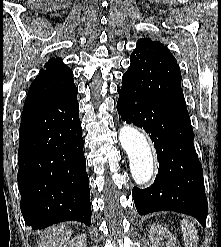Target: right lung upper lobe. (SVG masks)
<instances>
[{
    "mask_svg": "<svg viewBox=\"0 0 221 247\" xmlns=\"http://www.w3.org/2000/svg\"><path fill=\"white\" fill-rule=\"evenodd\" d=\"M30 85L23 109L60 97L76 89L73 72L59 58H52Z\"/></svg>",
    "mask_w": 221,
    "mask_h": 247,
    "instance_id": "obj_1",
    "label": "right lung upper lobe"
}]
</instances>
